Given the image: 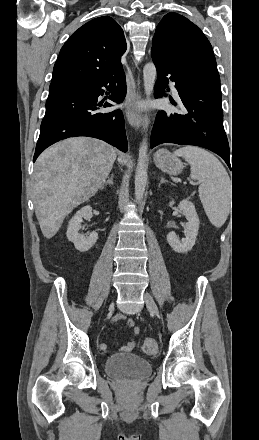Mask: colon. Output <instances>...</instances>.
<instances>
[{"label": "colon", "mask_w": 259, "mask_h": 440, "mask_svg": "<svg viewBox=\"0 0 259 440\" xmlns=\"http://www.w3.org/2000/svg\"><path fill=\"white\" fill-rule=\"evenodd\" d=\"M159 349L157 340L154 338H146L142 343V350L145 354L153 355L156 354Z\"/></svg>", "instance_id": "5ec220e1"}]
</instances>
